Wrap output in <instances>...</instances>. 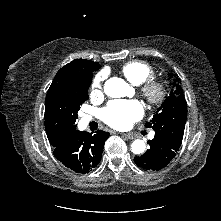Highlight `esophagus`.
Masks as SVG:
<instances>
[{
	"label": "esophagus",
	"mask_w": 221,
	"mask_h": 221,
	"mask_svg": "<svg viewBox=\"0 0 221 221\" xmlns=\"http://www.w3.org/2000/svg\"><path fill=\"white\" fill-rule=\"evenodd\" d=\"M122 137L126 138V139H134V136L131 135V134H126V133H123L122 134Z\"/></svg>",
	"instance_id": "esophagus-1"
}]
</instances>
